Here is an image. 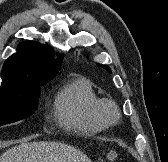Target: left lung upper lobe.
Listing matches in <instances>:
<instances>
[{
	"label": "left lung upper lobe",
	"instance_id": "left-lung-upper-lobe-1",
	"mask_svg": "<svg viewBox=\"0 0 168 162\" xmlns=\"http://www.w3.org/2000/svg\"><path fill=\"white\" fill-rule=\"evenodd\" d=\"M100 66L103 67L104 69H106L108 72H111V70H110V68L108 66L102 65V64Z\"/></svg>",
	"mask_w": 168,
	"mask_h": 162
}]
</instances>
